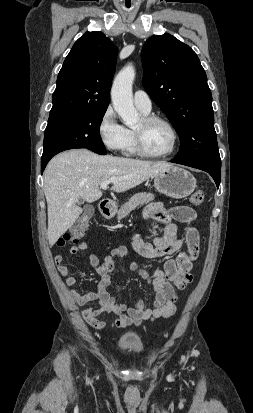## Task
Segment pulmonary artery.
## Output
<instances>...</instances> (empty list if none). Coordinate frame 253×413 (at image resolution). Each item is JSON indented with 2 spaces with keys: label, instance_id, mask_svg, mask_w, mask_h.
<instances>
[{
  "label": "pulmonary artery",
  "instance_id": "pulmonary-artery-1",
  "mask_svg": "<svg viewBox=\"0 0 253 413\" xmlns=\"http://www.w3.org/2000/svg\"><path fill=\"white\" fill-rule=\"evenodd\" d=\"M134 104L143 113H149L152 109V102L150 97L145 91L137 90L134 93Z\"/></svg>",
  "mask_w": 253,
  "mask_h": 413
}]
</instances>
